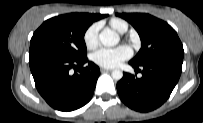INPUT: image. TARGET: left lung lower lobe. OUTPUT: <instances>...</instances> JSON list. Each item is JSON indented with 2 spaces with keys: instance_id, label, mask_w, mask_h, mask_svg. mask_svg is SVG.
Wrapping results in <instances>:
<instances>
[{
  "instance_id": "0a47b994",
  "label": "left lung lower lobe",
  "mask_w": 203,
  "mask_h": 123,
  "mask_svg": "<svg viewBox=\"0 0 203 123\" xmlns=\"http://www.w3.org/2000/svg\"><path fill=\"white\" fill-rule=\"evenodd\" d=\"M142 77L128 73L117 83L120 99L130 108L148 112L161 106L176 86L182 71L181 59H161L141 65L129 62Z\"/></svg>"
}]
</instances>
